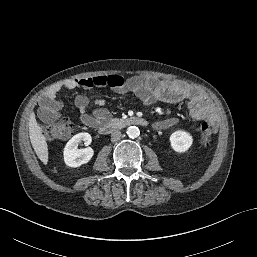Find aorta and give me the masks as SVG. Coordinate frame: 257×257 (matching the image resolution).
I'll return each instance as SVG.
<instances>
[{"label":"aorta","mask_w":257,"mask_h":257,"mask_svg":"<svg viewBox=\"0 0 257 257\" xmlns=\"http://www.w3.org/2000/svg\"><path fill=\"white\" fill-rule=\"evenodd\" d=\"M127 135L130 138H137L140 135V130L136 126H130L127 128Z\"/></svg>","instance_id":"aorta-1"}]
</instances>
